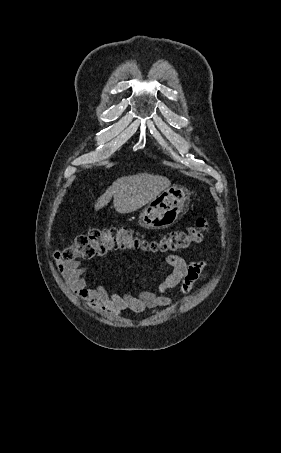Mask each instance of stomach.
<instances>
[{
  "mask_svg": "<svg viewBox=\"0 0 281 453\" xmlns=\"http://www.w3.org/2000/svg\"><path fill=\"white\" fill-rule=\"evenodd\" d=\"M189 192L179 184L162 190L156 198L150 200L139 214L141 227L145 229H168L184 212Z\"/></svg>",
  "mask_w": 281,
  "mask_h": 453,
  "instance_id": "stomach-1",
  "label": "stomach"
}]
</instances>
